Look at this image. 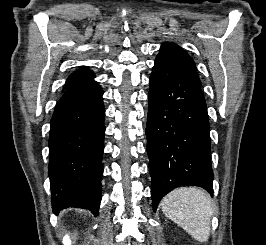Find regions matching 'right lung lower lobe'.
Returning a JSON list of instances; mask_svg holds the SVG:
<instances>
[{"label":"right lung lower lobe","mask_w":266,"mask_h":245,"mask_svg":"<svg viewBox=\"0 0 266 245\" xmlns=\"http://www.w3.org/2000/svg\"><path fill=\"white\" fill-rule=\"evenodd\" d=\"M102 94L96 81H87L65 90L55 107L48 168L55 213L67 207L98 213L105 134Z\"/></svg>","instance_id":"98d812e1"}]
</instances>
